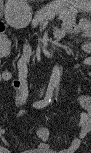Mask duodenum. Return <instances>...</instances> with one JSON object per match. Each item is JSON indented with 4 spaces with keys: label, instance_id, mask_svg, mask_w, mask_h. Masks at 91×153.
Here are the masks:
<instances>
[{
    "label": "duodenum",
    "instance_id": "obj_1",
    "mask_svg": "<svg viewBox=\"0 0 91 153\" xmlns=\"http://www.w3.org/2000/svg\"><path fill=\"white\" fill-rule=\"evenodd\" d=\"M60 41H61V38L59 36L55 40L54 45H51L49 47V49L45 53L39 55L37 59L40 60V61H43V60H48L49 58H51L55 54V52L57 50V45L60 43Z\"/></svg>",
    "mask_w": 91,
    "mask_h": 153
}]
</instances>
